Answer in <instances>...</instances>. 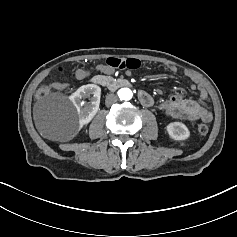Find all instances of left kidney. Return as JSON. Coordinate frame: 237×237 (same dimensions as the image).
<instances>
[{
  "label": "left kidney",
  "mask_w": 237,
  "mask_h": 237,
  "mask_svg": "<svg viewBox=\"0 0 237 237\" xmlns=\"http://www.w3.org/2000/svg\"><path fill=\"white\" fill-rule=\"evenodd\" d=\"M167 132L174 140H185L190 136L188 128L181 122H172L168 124Z\"/></svg>",
  "instance_id": "1"
}]
</instances>
